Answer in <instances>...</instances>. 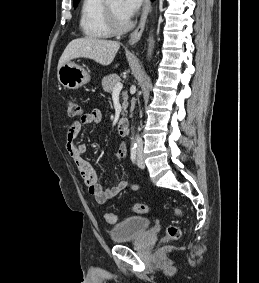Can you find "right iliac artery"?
Here are the masks:
<instances>
[{
	"label": "right iliac artery",
	"mask_w": 259,
	"mask_h": 283,
	"mask_svg": "<svg viewBox=\"0 0 259 283\" xmlns=\"http://www.w3.org/2000/svg\"><path fill=\"white\" fill-rule=\"evenodd\" d=\"M137 148L136 146L131 148V160L133 163L136 162Z\"/></svg>",
	"instance_id": "obj_1"
}]
</instances>
